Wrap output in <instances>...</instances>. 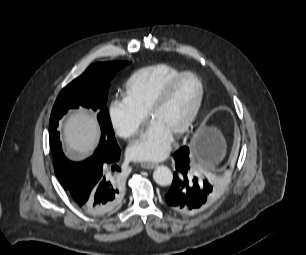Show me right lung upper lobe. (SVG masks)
Wrapping results in <instances>:
<instances>
[{
	"label": "right lung upper lobe",
	"instance_id": "right-lung-upper-lobe-1",
	"mask_svg": "<svg viewBox=\"0 0 306 255\" xmlns=\"http://www.w3.org/2000/svg\"><path fill=\"white\" fill-rule=\"evenodd\" d=\"M65 167H66V169H67V168H68V165L66 164Z\"/></svg>",
	"mask_w": 306,
	"mask_h": 255
}]
</instances>
